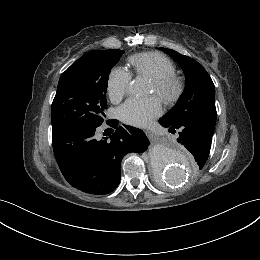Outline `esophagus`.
Instances as JSON below:
<instances>
[{
    "label": "esophagus",
    "mask_w": 260,
    "mask_h": 260,
    "mask_svg": "<svg viewBox=\"0 0 260 260\" xmlns=\"http://www.w3.org/2000/svg\"><path fill=\"white\" fill-rule=\"evenodd\" d=\"M145 132L150 139H153L156 136L150 129H147Z\"/></svg>",
    "instance_id": "obj_1"
}]
</instances>
